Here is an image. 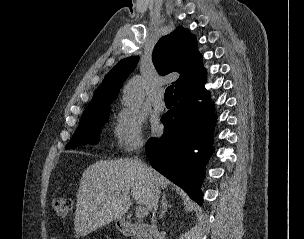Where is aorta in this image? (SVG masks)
<instances>
[{
	"mask_svg": "<svg viewBox=\"0 0 304 239\" xmlns=\"http://www.w3.org/2000/svg\"><path fill=\"white\" fill-rule=\"evenodd\" d=\"M144 98L143 84L140 79H133L129 81L124 89V103L131 107H138L141 105Z\"/></svg>",
	"mask_w": 304,
	"mask_h": 239,
	"instance_id": "1",
	"label": "aorta"
}]
</instances>
